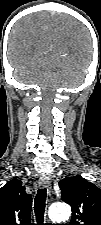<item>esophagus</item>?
Returning a JSON list of instances; mask_svg holds the SVG:
<instances>
[{"mask_svg":"<svg viewBox=\"0 0 101 225\" xmlns=\"http://www.w3.org/2000/svg\"><path fill=\"white\" fill-rule=\"evenodd\" d=\"M39 184L43 188H46L48 191L51 189V180L49 177H41Z\"/></svg>","mask_w":101,"mask_h":225,"instance_id":"1","label":"esophagus"}]
</instances>
